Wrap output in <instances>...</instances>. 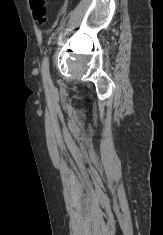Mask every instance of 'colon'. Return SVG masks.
<instances>
[{
    "mask_svg": "<svg viewBox=\"0 0 163 235\" xmlns=\"http://www.w3.org/2000/svg\"><path fill=\"white\" fill-rule=\"evenodd\" d=\"M30 6L34 19L40 25H43L47 20L46 0H30Z\"/></svg>",
    "mask_w": 163,
    "mask_h": 235,
    "instance_id": "1",
    "label": "colon"
}]
</instances>
